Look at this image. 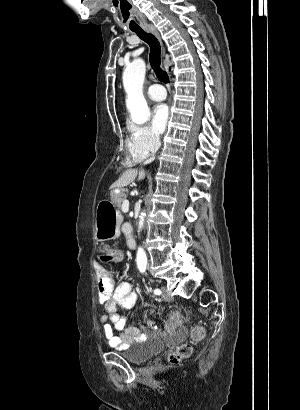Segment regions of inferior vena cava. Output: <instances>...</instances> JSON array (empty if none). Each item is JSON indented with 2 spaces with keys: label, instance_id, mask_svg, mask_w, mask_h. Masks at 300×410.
I'll return each mask as SVG.
<instances>
[{
  "label": "inferior vena cava",
  "instance_id": "inferior-vena-cava-1",
  "mask_svg": "<svg viewBox=\"0 0 300 410\" xmlns=\"http://www.w3.org/2000/svg\"><path fill=\"white\" fill-rule=\"evenodd\" d=\"M160 145H161V142H160L159 136H155V137H154V147H153V149H152L153 155H152V157H151L149 160H147L144 164L150 163L151 161L154 160V158H155V157H154V153L158 150V148H159Z\"/></svg>",
  "mask_w": 300,
  "mask_h": 410
}]
</instances>
